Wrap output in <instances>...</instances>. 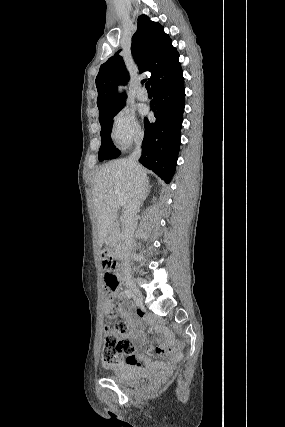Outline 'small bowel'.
<instances>
[{"label": "small bowel", "mask_w": 285, "mask_h": 427, "mask_svg": "<svg viewBox=\"0 0 285 427\" xmlns=\"http://www.w3.org/2000/svg\"><path fill=\"white\" fill-rule=\"evenodd\" d=\"M121 316L131 328L150 322V318L144 315L136 314L135 316H132L127 307L123 310ZM127 336H132V332L129 331ZM133 340L135 342L140 341L138 336H134ZM180 349V346L173 348V354L169 358H162L160 362H152L148 360L143 354L133 352L130 356H125V359H121L116 365H120L124 362L131 363L136 362V360H142L145 367L150 371L156 372L161 370L162 373L166 374L181 360L182 355L180 353Z\"/></svg>", "instance_id": "c3829d8e"}]
</instances>
